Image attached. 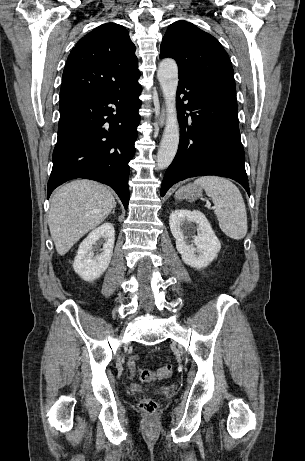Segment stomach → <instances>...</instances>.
<instances>
[{
	"mask_svg": "<svg viewBox=\"0 0 305 461\" xmlns=\"http://www.w3.org/2000/svg\"><path fill=\"white\" fill-rule=\"evenodd\" d=\"M202 194V188L194 184H188L179 188L176 192L175 197L178 200H188L192 202L196 200Z\"/></svg>",
	"mask_w": 305,
	"mask_h": 461,
	"instance_id": "stomach-1",
	"label": "stomach"
}]
</instances>
